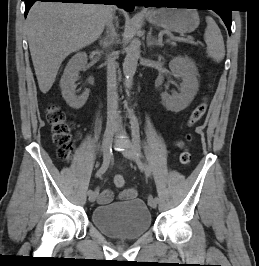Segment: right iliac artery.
<instances>
[{"label": "right iliac artery", "mask_w": 259, "mask_h": 266, "mask_svg": "<svg viewBox=\"0 0 259 266\" xmlns=\"http://www.w3.org/2000/svg\"><path fill=\"white\" fill-rule=\"evenodd\" d=\"M110 155H111V148H109V150H108V152H107V154L103 160L102 166L96 172V177H101L106 172V170L108 169L109 163H110ZM92 192H93L92 190H89L88 195H90Z\"/></svg>", "instance_id": "obj_1"}]
</instances>
